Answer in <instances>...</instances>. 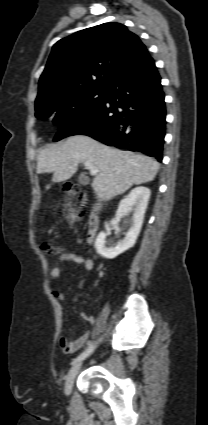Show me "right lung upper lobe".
Listing matches in <instances>:
<instances>
[{
	"mask_svg": "<svg viewBox=\"0 0 208 425\" xmlns=\"http://www.w3.org/2000/svg\"><path fill=\"white\" fill-rule=\"evenodd\" d=\"M148 54L140 38L120 23H103L54 44L39 80L36 102L82 89H102Z\"/></svg>",
	"mask_w": 208,
	"mask_h": 425,
	"instance_id": "obj_1",
	"label": "right lung upper lobe"
}]
</instances>
